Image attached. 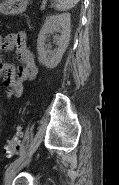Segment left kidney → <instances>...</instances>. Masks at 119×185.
I'll list each match as a JSON object with an SVG mask.
<instances>
[{"label":"left kidney","instance_id":"5707ae66","mask_svg":"<svg viewBox=\"0 0 119 185\" xmlns=\"http://www.w3.org/2000/svg\"><path fill=\"white\" fill-rule=\"evenodd\" d=\"M70 18V13L50 15L46 18L45 23L39 32L37 39L38 60L42 65L49 69L55 68L60 63L62 56L68 47L71 32ZM57 28H61V35L54 36V42L57 45V49L48 53L45 45L46 38L50 33H54Z\"/></svg>","mask_w":119,"mask_h":185}]
</instances>
